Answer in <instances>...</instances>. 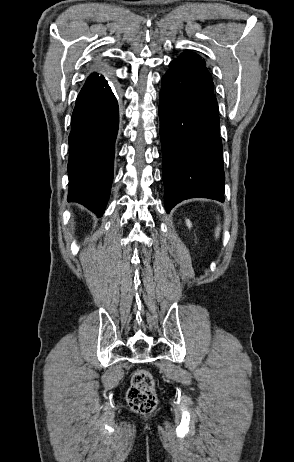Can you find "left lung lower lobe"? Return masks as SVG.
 Segmentation results:
<instances>
[{
    "label": "left lung lower lobe",
    "mask_w": 294,
    "mask_h": 462,
    "mask_svg": "<svg viewBox=\"0 0 294 462\" xmlns=\"http://www.w3.org/2000/svg\"><path fill=\"white\" fill-rule=\"evenodd\" d=\"M164 204L201 197L224 201L222 141L213 81L205 65L177 58L159 95Z\"/></svg>",
    "instance_id": "0a47b994"
}]
</instances>
